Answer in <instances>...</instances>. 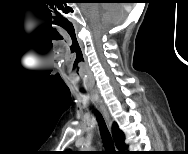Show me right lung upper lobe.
Returning <instances> with one entry per match:
<instances>
[{"label":"right lung upper lobe","mask_w":188,"mask_h":154,"mask_svg":"<svg viewBox=\"0 0 188 154\" xmlns=\"http://www.w3.org/2000/svg\"><path fill=\"white\" fill-rule=\"evenodd\" d=\"M114 131H113V135L114 138L116 139L119 149L120 150H124L126 148V145L124 143V134L123 132L118 128L117 124L114 123V127H113Z\"/></svg>","instance_id":"1"}]
</instances>
